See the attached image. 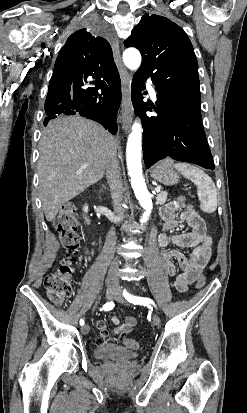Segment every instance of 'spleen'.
<instances>
[{
  "label": "spleen",
  "instance_id": "obj_1",
  "mask_svg": "<svg viewBox=\"0 0 247 413\" xmlns=\"http://www.w3.org/2000/svg\"><path fill=\"white\" fill-rule=\"evenodd\" d=\"M177 170H180L186 178L193 180L198 186L197 194L201 202V207L208 213H214L217 209V188L214 180L209 174H206L201 168L186 164V162H176L174 164Z\"/></svg>",
  "mask_w": 247,
  "mask_h": 413
}]
</instances>
